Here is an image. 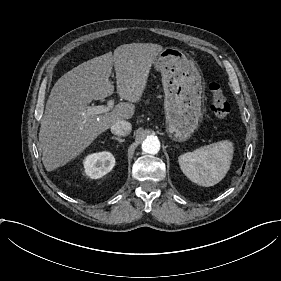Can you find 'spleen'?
<instances>
[{"label": "spleen", "instance_id": "3e777b00", "mask_svg": "<svg viewBox=\"0 0 281 281\" xmlns=\"http://www.w3.org/2000/svg\"><path fill=\"white\" fill-rule=\"evenodd\" d=\"M233 152V143L223 140L182 154L178 161L182 172L192 182L198 180L202 186L209 187L226 176Z\"/></svg>", "mask_w": 281, "mask_h": 281}]
</instances>
